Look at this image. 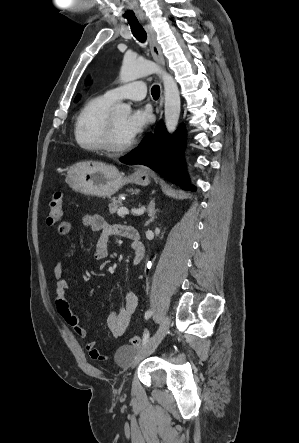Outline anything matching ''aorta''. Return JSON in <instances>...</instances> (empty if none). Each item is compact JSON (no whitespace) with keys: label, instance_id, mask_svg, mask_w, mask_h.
<instances>
[{"label":"aorta","instance_id":"aorta-1","mask_svg":"<svg viewBox=\"0 0 299 443\" xmlns=\"http://www.w3.org/2000/svg\"><path fill=\"white\" fill-rule=\"evenodd\" d=\"M153 73L160 75L164 84L165 125L167 131L172 134L177 128L181 110L180 93L174 78L152 61L135 59L130 55H125L120 70V80L127 83ZM113 111L118 117H127L131 113V107L121 103L116 105Z\"/></svg>","mask_w":299,"mask_h":443}]
</instances>
